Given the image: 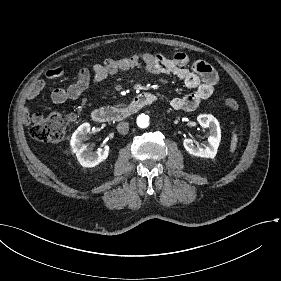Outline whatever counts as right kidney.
Segmentation results:
<instances>
[{"label":"right kidney","instance_id":"obj_1","mask_svg":"<svg viewBox=\"0 0 281 281\" xmlns=\"http://www.w3.org/2000/svg\"><path fill=\"white\" fill-rule=\"evenodd\" d=\"M91 133L90 123L85 122L77 128L71 138V147L83 167H95L104 162L109 155V145H104L103 149L99 148L96 152L87 149L86 140Z\"/></svg>","mask_w":281,"mask_h":281}]
</instances>
